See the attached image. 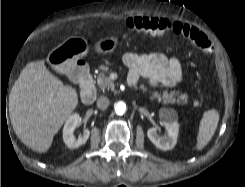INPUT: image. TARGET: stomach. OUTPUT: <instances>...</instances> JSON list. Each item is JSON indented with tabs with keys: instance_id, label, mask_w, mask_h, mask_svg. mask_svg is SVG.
Listing matches in <instances>:
<instances>
[{
	"instance_id": "obj_1",
	"label": "stomach",
	"mask_w": 245,
	"mask_h": 187,
	"mask_svg": "<svg viewBox=\"0 0 245 187\" xmlns=\"http://www.w3.org/2000/svg\"><path fill=\"white\" fill-rule=\"evenodd\" d=\"M119 45L117 37H106L96 43L98 54H110ZM88 52L87 41L80 37H71L54 48L47 57L48 64L59 73H67L76 66L78 60Z\"/></svg>"
}]
</instances>
